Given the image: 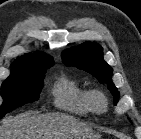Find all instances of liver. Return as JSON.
Listing matches in <instances>:
<instances>
[{
    "label": "liver",
    "mask_w": 141,
    "mask_h": 139,
    "mask_svg": "<svg viewBox=\"0 0 141 139\" xmlns=\"http://www.w3.org/2000/svg\"><path fill=\"white\" fill-rule=\"evenodd\" d=\"M92 129L68 114L25 112L7 118L0 126V139H74Z\"/></svg>",
    "instance_id": "1"
}]
</instances>
